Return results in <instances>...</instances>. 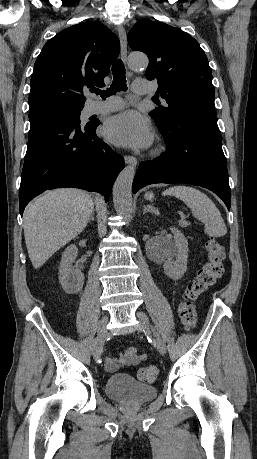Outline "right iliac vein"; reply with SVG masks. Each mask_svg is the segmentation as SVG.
<instances>
[{"instance_id":"63e3f726","label":"right iliac vein","mask_w":257,"mask_h":459,"mask_svg":"<svg viewBox=\"0 0 257 459\" xmlns=\"http://www.w3.org/2000/svg\"><path fill=\"white\" fill-rule=\"evenodd\" d=\"M107 323H108V317L103 316L97 327L98 343L93 349V357L96 361H99L101 358L102 344L107 336Z\"/></svg>"}]
</instances>
